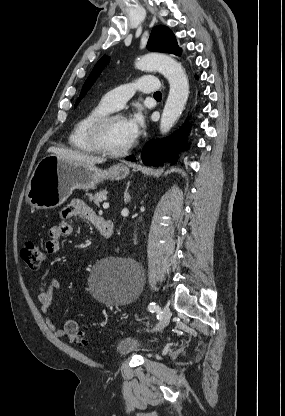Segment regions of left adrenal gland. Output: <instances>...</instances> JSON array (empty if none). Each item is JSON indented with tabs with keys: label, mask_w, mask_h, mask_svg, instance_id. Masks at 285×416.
<instances>
[{
	"label": "left adrenal gland",
	"mask_w": 285,
	"mask_h": 416,
	"mask_svg": "<svg viewBox=\"0 0 285 416\" xmlns=\"http://www.w3.org/2000/svg\"><path fill=\"white\" fill-rule=\"evenodd\" d=\"M131 198L126 190V192H124V202H126V204H128V202H130Z\"/></svg>",
	"instance_id": "1"
}]
</instances>
